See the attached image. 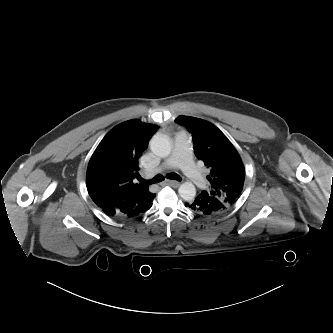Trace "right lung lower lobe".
I'll return each instance as SVG.
<instances>
[{"label":"right lung lower lobe","instance_id":"98d812e1","mask_svg":"<svg viewBox=\"0 0 333 333\" xmlns=\"http://www.w3.org/2000/svg\"><path fill=\"white\" fill-rule=\"evenodd\" d=\"M104 213H106L109 216H115L118 218H130L134 216H129L125 214L123 211L115 208V207H106V208H101Z\"/></svg>","mask_w":333,"mask_h":333}]
</instances>
